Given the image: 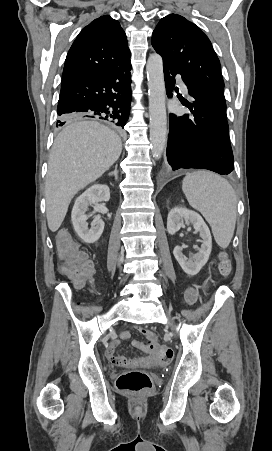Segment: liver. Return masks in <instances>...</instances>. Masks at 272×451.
<instances>
[{"label":"liver","instance_id":"liver-1","mask_svg":"<svg viewBox=\"0 0 272 451\" xmlns=\"http://www.w3.org/2000/svg\"><path fill=\"white\" fill-rule=\"evenodd\" d=\"M122 142L116 132L73 116L52 146L45 182L48 227L57 231L79 190L95 182L117 162Z\"/></svg>","mask_w":272,"mask_h":451}]
</instances>
